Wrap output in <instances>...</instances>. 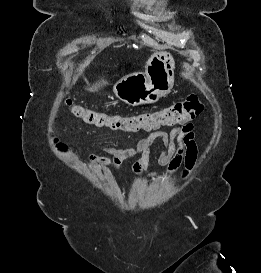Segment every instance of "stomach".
I'll return each instance as SVG.
<instances>
[{
    "mask_svg": "<svg viewBox=\"0 0 261 273\" xmlns=\"http://www.w3.org/2000/svg\"><path fill=\"white\" fill-rule=\"evenodd\" d=\"M175 63L168 52H155L144 72H134L114 85L115 95L131 106L155 103L170 92L174 84Z\"/></svg>",
    "mask_w": 261,
    "mask_h": 273,
    "instance_id": "obj_1",
    "label": "stomach"
}]
</instances>
